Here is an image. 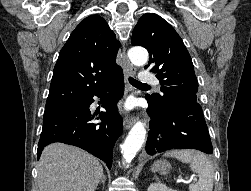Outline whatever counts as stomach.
I'll return each mask as SVG.
<instances>
[{"instance_id":"0dacf381","label":"stomach","mask_w":251,"mask_h":191,"mask_svg":"<svg viewBox=\"0 0 251 191\" xmlns=\"http://www.w3.org/2000/svg\"><path fill=\"white\" fill-rule=\"evenodd\" d=\"M170 169V163L166 159H158L153 165H151V171H159V173H167Z\"/></svg>"}]
</instances>
